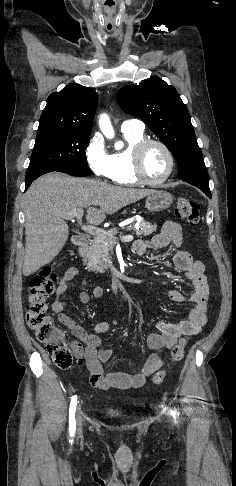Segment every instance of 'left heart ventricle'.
Here are the masks:
<instances>
[{
	"mask_svg": "<svg viewBox=\"0 0 236 486\" xmlns=\"http://www.w3.org/2000/svg\"><path fill=\"white\" fill-rule=\"evenodd\" d=\"M169 162L163 149L157 145H150L143 155V170L147 178L158 180L168 170Z\"/></svg>",
	"mask_w": 236,
	"mask_h": 486,
	"instance_id": "obj_1",
	"label": "left heart ventricle"
}]
</instances>
